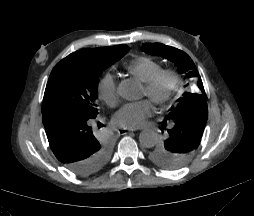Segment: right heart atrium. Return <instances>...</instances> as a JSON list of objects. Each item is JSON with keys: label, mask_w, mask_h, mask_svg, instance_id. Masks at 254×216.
Returning a JSON list of instances; mask_svg holds the SVG:
<instances>
[{"label": "right heart atrium", "mask_w": 254, "mask_h": 216, "mask_svg": "<svg viewBox=\"0 0 254 216\" xmlns=\"http://www.w3.org/2000/svg\"><path fill=\"white\" fill-rule=\"evenodd\" d=\"M98 94L107 105L114 107L117 104V84L111 75L107 74L100 80Z\"/></svg>", "instance_id": "obj_1"}]
</instances>
